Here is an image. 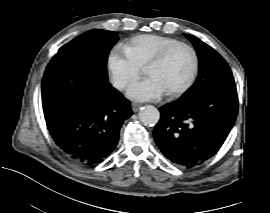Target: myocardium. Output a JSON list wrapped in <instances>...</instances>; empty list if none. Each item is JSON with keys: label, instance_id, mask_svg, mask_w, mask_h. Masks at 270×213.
Wrapping results in <instances>:
<instances>
[{"label": "myocardium", "instance_id": "myocardium-1", "mask_svg": "<svg viewBox=\"0 0 270 213\" xmlns=\"http://www.w3.org/2000/svg\"><path fill=\"white\" fill-rule=\"evenodd\" d=\"M180 48H184L187 49L191 52L192 56H193V67L190 73V76L188 78V80L179 88L172 90V91H167V95L171 98H176L181 96L182 94H184L185 92H187L194 84L197 73H198V64H199V60H198V54L196 52V50L194 49V47H192L191 45L187 44V43H179L176 44L174 46H171L165 50H163L162 52H160L155 58H153L151 60V62L148 64V70H150L152 67L160 64L161 62H163L165 60V58L172 53L173 51L180 49Z\"/></svg>", "mask_w": 270, "mask_h": 213}]
</instances>
